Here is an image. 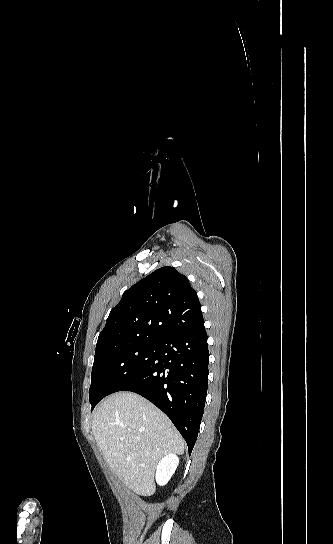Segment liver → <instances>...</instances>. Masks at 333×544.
Returning a JSON list of instances; mask_svg holds the SVG:
<instances>
[{"label": "liver", "instance_id": "obj_1", "mask_svg": "<svg viewBox=\"0 0 333 544\" xmlns=\"http://www.w3.org/2000/svg\"><path fill=\"white\" fill-rule=\"evenodd\" d=\"M92 432L113 472L135 493L152 495L154 473L166 455L183 454L184 440L171 421L141 396L119 392L93 416Z\"/></svg>", "mask_w": 333, "mask_h": 544}]
</instances>
